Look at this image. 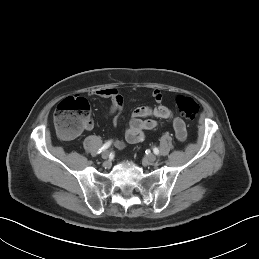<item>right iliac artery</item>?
I'll return each mask as SVG.
<instances>
[{
	"label": "right iliac artery",
	"instance_id": "right-iliac-artery-1",
	"mask_svg": "<svg viewBox=\"0 0 259 259\" xmlns=\"http://www.w3.org/2000/svg\"><path fill=\"white\" fill-rule=\"evenodd\" d=\"M111 145V141L106 142L100 149L98 153H101L103 151H105L107 148H109V146Z\"/></svg>",
	"mask_w": 259,
	"mask_h": 259
}]
</instances>
